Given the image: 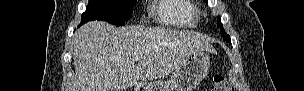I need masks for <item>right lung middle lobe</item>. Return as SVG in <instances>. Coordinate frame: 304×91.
I'll list each match as a JSON object with an SVG mask.
<instances>
[{
	"label": "right lung middle lobe",
	"instance_id": "obj_1",
	"mask_svg": "<svg viewBox=\"0 0 304 91\" xmlns=\"http://www.w3.org/2000/svg\"><path fill=\"white\" fill-rule=\"evenodd\" d=\"M136 0H89L81 24L91 20L107 21L116 26L131 19Z\"/></svg>",
	"mask_w": 304,
	"mask_h": 91
}]
</instances>
